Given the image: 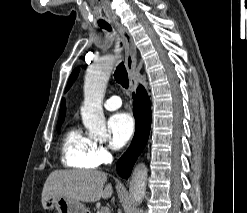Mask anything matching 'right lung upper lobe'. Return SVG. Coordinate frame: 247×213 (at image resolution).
<instances>
[{
	"mask_svg": "<svg viewBox=\"0 0 247 213\" xmlns=\"http://www.w3.org/2000/svg\"><path fill=\"white\" fill-rule=\"evenodd\" d=\"M65 100L63 99L62 100V104H61V107H60V115H59V121L58 123H62L63 120H64V117H65Z\"/></svg>",
	"mask_w": 247,
	"mask_h": 213,
	"instance_id": "obj_1",
	"label": "right lung upper lobe"
}]
</instances>
